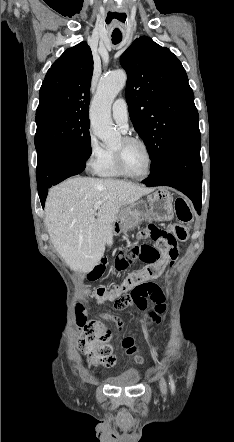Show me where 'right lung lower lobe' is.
Returning a JSON list of instances; mask_svg holds the SVG:
<instances>
[{"mask_svg": "<svg viewBox=\"0 0 234 442\" xmlns=\"http://www.w3.org/2000/svg\"><path fill=\"white\" fill-rule=\"evenodd\" d=\"M37 185L44 208L48 189L64 179L81 173L86 159L69 147L49 146L37 150Z\"/></svg>", "mask_w": 234, "mask_h": 442, "instance_id": "98d812e1", "label": "right lung lower lobe"}]
</instances>
